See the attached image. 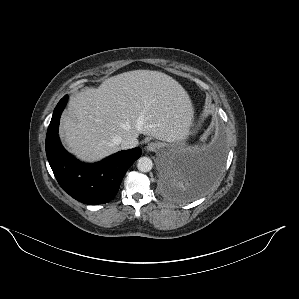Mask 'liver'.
<instances>
[{"label": "liver", "instance_id": "6515ba94", "mask_svg": "<svg viewBox=\"0 0 299 299\" xmlns=\"http://www.w3.org/2000/svg\"><path fill=\"white\" fill-rule=\"evenodd\" d=\"M193 117L191 99L176 80L158 71L133 70L76 93L61 118L60 137L76 157L92 162L119 151L115 140L127 136L179 142Z\"/></svg>", "mask_w": 299, "mask_h": 299}]
</instances>
